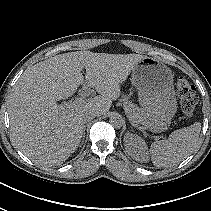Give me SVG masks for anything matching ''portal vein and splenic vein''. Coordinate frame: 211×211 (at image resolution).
<instances>
[{"mask_svg": "<svg viewBox=\"0 0 211 211\" xmlns=\"http://www.w3.org/2000/svg\"><path fill=\"white\" fill-rule=\"evenodd\" d=\"M84 102H85V99L83 97H80L73 101H69L67 103L62 104L60 108L61 109L74 108L76 106L82 105Z\"/></svg>", "mask_w": 211, "mask_h": 211, "instance_id": "18ae733b", "label": "portal vein and splenic vein"}]
</instances>
